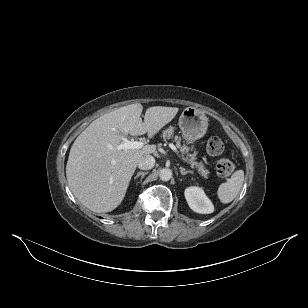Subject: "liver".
Listing matches in <instances>:
<instances>
[{"label": "liver", "instance_id": "obj_1", "mask_svg": "<svg viewBox=\"0 0 308 308\" xmlns=\"http://www.w3.org/2000/svg\"><path fill=\"white\" fill-rule=\"evenodd\" d=\"M142 110L143 106L136 103L104 114L74 141L66 177L75 197L88 209L102 213L119 206L140 158L156 151L155 145L119 150L122 138L145 133L152 138L179 111L176 107H150L142 122Z\"/></svg>", "mask_w": 308, "mask_h": 308}]
</instances>
